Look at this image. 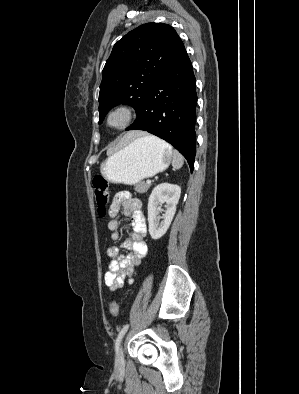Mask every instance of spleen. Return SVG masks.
Returning a JSON list of instances; mask_svg holds the SVG:
<instances>
[{"mask_svg":"<svg viewBox=\"0 0 299 394\" xmlns=\"http://www.w3.org/2000/svg\"><path fill=\"white\" fill-rule=\"evenodd\" d=\"M150 139H153L155 142L165 146L166 148L170 149L171 154H172V166L174 169H180L183 166L184 163V159L182 157V155L176 151L173 150L172 147L167 144L166 142L162 141L161 139H158L156 137L153 136H148Z\"/></svg>","mask_w":299,"mask_h":394,"instance_id":"obj_1","label":"spleen"}]
</instances>
